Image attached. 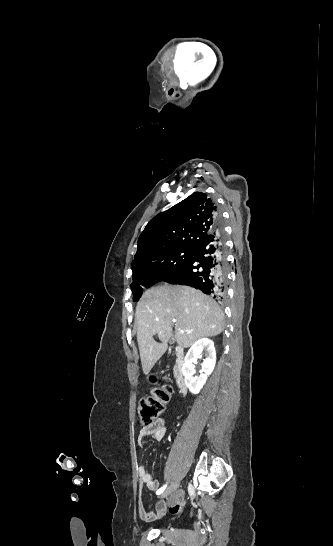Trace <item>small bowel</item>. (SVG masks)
Segmentation results:
<instances>
[{"mask_svg": "<svg viewBox=\"0 0 333 546\" xmlns=\"http://www.w3.org/2000/svg\"><path fill=\"white\" fill-rule=\"evenodd\" d=\"M166 435V426L164 419H158L149 426L143 427L138 434L137 442L140 447H143L145 440L151 438L155 441H162ZM137 476L140 487L146 486L150 490H156L159 487L157 480L153 479L152 475L144 466H138ZM184 506V498L182 493L177 492L170 496L167 501L159 502L156 511H151L142 501L138 499V513L142 520L146 522H154L162 517L167 512L179 513Z\"/></svg>", "mask_w": 333, "mask_h": 546, "instance_id": "obj_1", "label": "small bowel"}]
</instances>
